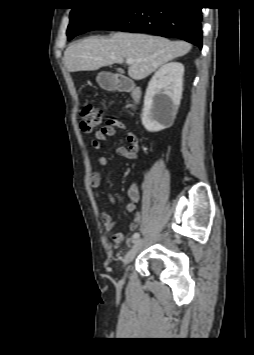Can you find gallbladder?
<instances>
[{
	"label": "gallbladder",
	"instance_id": "bac80fb5",
	"mask_svg": "<svg viewBox=\"0 0 254 355\" xmlns=\"http://www.w3.org/2000/svg\"><path fill=\"white\" fill-rule=\"evenodd\" d=\"M118 72H121L122 70L120 68L117 69Z\"/></svg>",
	"mask_w": 254,
	"mask_h": 355
}]
</instances>
